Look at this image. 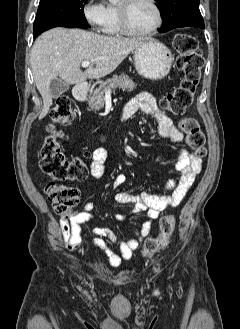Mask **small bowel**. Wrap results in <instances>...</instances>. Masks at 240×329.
<instances>
[{
  "label": "small bowel",
  "mask_w": 240,
  "mask_h": 329,
  "mask_svg": "<svg viewBox=\"0 0 240 329\" xmlns=\"http://www.w3.org/2000/svg\"><path fill=\"white\" fill-rule=\"evenodd\" d=\"M138 111L151 116L157 126L158 135L178 144L183 139L182 132L176 128L172 120L160 108L156 99L148 92H140L131 99L121 112V120H127ZM107 135H104L105 140ZM108 153L105 148H98L93 151L90 163V174L94 178H101L105 174V162ZM175 168L180 172L177 179L171 180L167 186V192L163 195H154L147 192L132 193L121 191L115 195L120 204L133 205L132 213H145L146 219L140 228L133 227L132 237L127 240L119 239L108 227H95L92 229L94 235L93 245L103 250L108 258L109 264L118 268L123 262L132 258L133 252L138 248L142 240L148 235L152 222L157 219L160 213L168 208L178 206L191 187L195 177L201 172L202 159L194 153L182 148L180 157L175 163ZM127 181V176L119 174L113 181L111 187L116 188ZM94 204L86 203L81 211L74 213L69 220L60 222L61 234L66 248L70 251H77L81 248V226L92 221ZM116 218L125 221L128 215L117 214ZM111 244H114L118 251H115Z\"/></svg>",
  "instance_id": "small-bowel-1"
}]
</instances>
